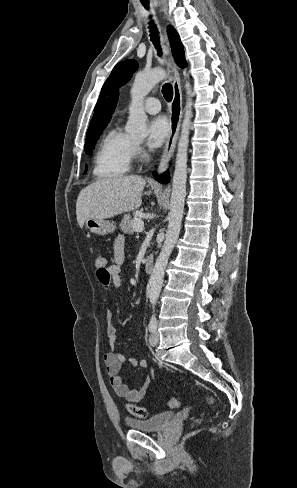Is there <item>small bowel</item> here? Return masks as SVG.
Returning <instances> with one entry per match:
<instances>
[{
	"mask_svg": "<svg viewBox=\"0 0 297 488\" xmlns=\"http://www.w3.org/2000/svg\"><path fill=\"white\" fill-rule=\"evenodd\" d=\"M125 259V238L123 235H118L113 244V252L107 257V265L104 271L97 270V279L100 285L108 290L111 287L121 288V266ZM106 321H107V337L111 347V351L104 354V365L109 376V382L115 394L130 402H140L146 395L150 386L151 380L148 376L143 385L138 389H130L120 376V370L123 363H129L132 366L140 368L148 367V361L143 358H126L122 353L115 349L117 342V332L112 324L113 313L111 304L106 302Z\"/></svg>",
	"mask_w": 297,
	"mask_h": 488,
	"instance_id": "c3829d8e",
	"label": "small bowel"
}]
</instances>
